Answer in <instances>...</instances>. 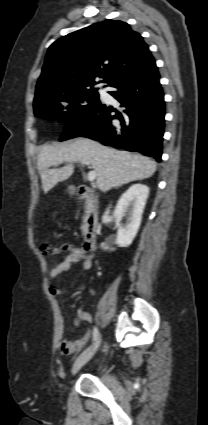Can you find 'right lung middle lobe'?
<instances>
[{
  "label": "right lung middle lobe",
  "instance_id": "dd1d6c3e",
  "mask_svg": "<svg viewBox=\"0 0 208 425\" xmlns=\"http://www.w3.org/2000/svg\"><path fill=\"white\" fill-rule=\"evenodd\" d=\"M97 88L82 89L70 93L49 95L34 102L35 116L68 122L101 105Z\"/></svg>",
  "mask_w": 208,
  "mask_h": 425
}]
</instances>
